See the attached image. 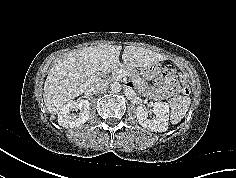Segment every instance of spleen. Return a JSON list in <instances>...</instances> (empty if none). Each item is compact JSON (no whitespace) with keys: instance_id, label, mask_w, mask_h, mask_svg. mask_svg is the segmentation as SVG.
Masks as SVG:
<instances>
[{"instance_id":"spleen-1","label":"spleen","mask_w":236,"mask_h":178,"mask_svg":"<svg viewBox=\"0 0 236 178\" xmlns=\"http://www.w3.org/2000/svg\"><path fill=\"white\" fill-rule=\"evenodd\" d=\"M191 104V99L187 96H175L170 101L171 107V116L170 120L172 124L179 123L183 117L185 116L186 112L189 109Z\"/></svg>"}]
</instances>
